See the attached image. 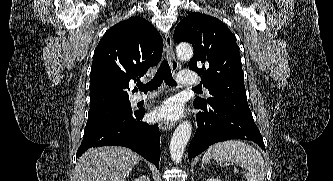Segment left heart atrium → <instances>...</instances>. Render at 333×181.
Here are the masks:
<instances>
[{
	"instance_id": "39dd6f15",
	"label": "left heart atrium",
	"mask_w": 333,
	"mask_h": 181,
	"mask_svg": "<svg viewBox=\"0 0 333 181\" xmlns=\"http://www.w3.org/2000/svg\"><path fill=\"white\" fill-rule=\"evenodd\" d=\"M182 115V104L175 98L166 100L153 113L154 118L167 121L178 120L182 117Z\"/></svg>"
}]
</instances>
